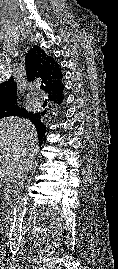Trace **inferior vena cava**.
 Returning a JSON list of instances; mask_svg holds the SVG:
<instances>
[{
	"instance_id": "inferior-vena-cava-1",
	"label": "inferior vena cava",
	"mask_w": 118,
	"mask_h": 269,
	"mask_svg": "<svg viewBox=\"0 0 118 269\" xmlns=\"http://www.w3.org/2000/svg\"><path fill=\"white\" fill-rule=\"evenodd\" d=\"M33 160H34V157L29 155V156L24 157L23 160L21 161L18 167L17 175H16L18 186L22 185L25 179L27 178L28 173L32 168Z\"/></svg>"
}]
</instances>
